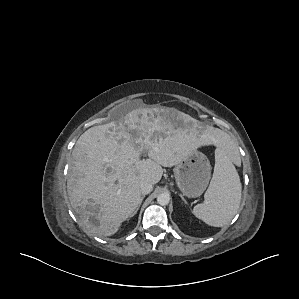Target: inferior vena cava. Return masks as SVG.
I'll return each mask as SVG.
<instances>
[{
	"label": "inferior vena cava",
	"instance_id": "obj_1",
	"mask_svg": "<svg viewBox=\"0 0 299 299\" xmlns=\"http://www.w3.org/2000/svg\"><path fill=\"white\" fill-rule=\"evenodd\" d=\"M152 190H153V186L151 183H149L147 181L140 182V192L143 195L151 193Z\"/></svg>",
	"mask_w": 299,
	"mask_h": 299
}]
</instances>
